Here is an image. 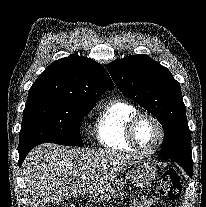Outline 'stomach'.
Masks as SVG:
<instances>
[{"label":"stomach","mask_w":206,"mask_h":207,"mask_svg":"<svg viewBox=\"0 0 206 207\" xmlns=\"http://www.w3.org/2000/svg\"><path fill=\"white\" fill-rule=\"evenodd\" d=\"M156 178V167L152 161L146 159H138L133 164L131 169L126 173V178H114L109 182L105 189V196L116 194L122 190L127 182L132 183L137 187H145L153 183Z\"/></svg>","instance_id":"obj_1"}]
</instances>
